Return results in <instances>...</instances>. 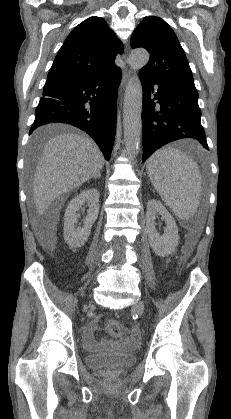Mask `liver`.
Listing matches in <instances>:
<instances>
[{"label": "liver", "mask_w": 231, "mask_h": 419, "mask_svg": "<svg viewBox=\"0 0 231 419\" xmlns=\"http://www.w3.org/2000/svg\"><path fill=\"white\" fill-rule=\"evenodd\" d=\"M48 129L47 126L41 127L34 132L32 146L35 140L41 141ZM104 162L99 147L86 136L64 133L49 140L44 146L33 180L37 213L43 215L56 198L97 175ZM50 237L51 241L47 243L53 247L56 243L54 231Z\"/></svg>", "instance_id": "obj_1"}]
</instances>
